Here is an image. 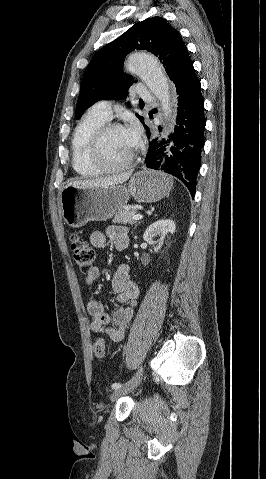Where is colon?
I'll return each instance as SVG.
<instances>
[{
    "label": "colon",
    "instance_id": "5ec220e1",
    "mask_svg": "<svg viewBox=\"0 0 266 479\" xmlns=\"http://www.w3.org/2000/svg\"><path fill=\"white\" fill-rule=\"evenodd\" d=\"M70 250L72 257L83 273H89L95 263V253L87 240L80 234L71 233L69 236ZM92 351L98 358L106 355V340L103 337L97 338L92 344Z\"/></svg>",
    "mask_w": 266,
    "mask_h": 479
}]
</instances>
